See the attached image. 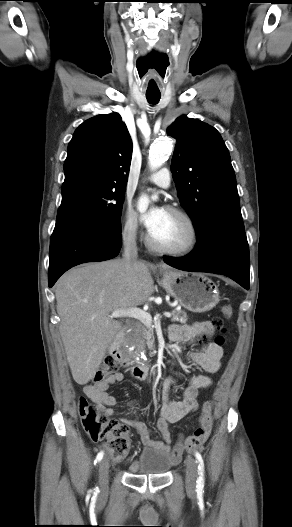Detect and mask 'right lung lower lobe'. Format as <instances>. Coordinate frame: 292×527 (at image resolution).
<instances>
[{"label":"right lung lower lobe","instance_id":"right-lung-lower-lobe-1","mask_svg":"<svg viewBox=\"0 0 292 527\" xmlns=\"http://www.w3.org/2000/svg\"><path fill=\"white\" fill-rule=\"evenodd\" d=\"M121 245V232L90 220L57 219L50 241L49 287L73 266L116 257Z\"/></svg>","mask_w":292,"mask_h":527}]
</instances>
